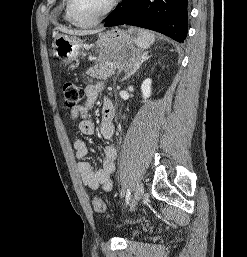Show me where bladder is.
<instances>
[{
    "mask_svg": "<svg viewBox=\"0 0 247 257\" xmlns=\"http://www.w3.org/2000/svg\"><path fill=\"white\" fill-rule=\"evenodd\" d=\"M140 234V230H134L132 233H131V236L132 237H135V236H137V235H139Z\"/></svg>",
    "mask_w": 247,
    "mask_h": 257,
    "instance_id": "bladder-1",
    "label": "bladder"
}]
</instances>
